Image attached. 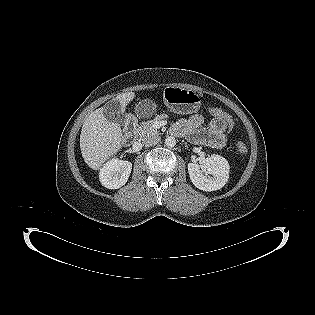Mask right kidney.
<instances>
[{"mask_svg":"<svg viewBox=\"0 0 315 315\" xmlns=\"http://www.w3.org/2000/svg\"><path fill=\"white\" fill-rule=\"evenodd\" d=\"M132 170V163L111 159L101 169L99 179L108 189H118L126 184Z\"/></svg>","mask_w":315,"mask_h":315,"instance_id":"ca27d5eb","label":"right kidney"}]
</instances>
